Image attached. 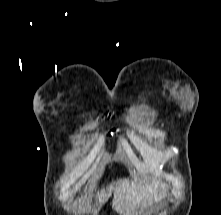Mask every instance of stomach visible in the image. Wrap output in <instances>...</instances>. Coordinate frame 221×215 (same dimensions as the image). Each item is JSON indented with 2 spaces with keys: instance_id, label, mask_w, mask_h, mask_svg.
I'll return each mask as SVG.
<instances>
[{
  "instance_id": "obj_1",
  "label": "stomach",
  "mask_w": 221,
  "mask_h": 215,
  "mask_svg": "<svg viewBox=\"0 0 221 215\" xmlns=\"http://www.w3.org/2000/svg\"><path fill=\"white\" fill-rule=\"evenodd\" d=\"M164 201H165V197H164V196H161V197H159V198L155 201V203H156V205H160V204H162Z\"/></svg>"
}]
</instances>
